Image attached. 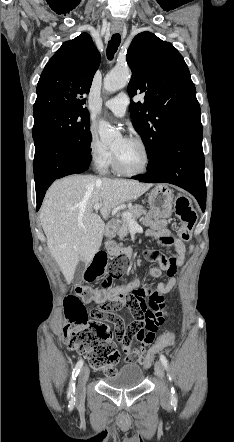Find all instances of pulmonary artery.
<instances>
[{"mask_svg": "<svg viewBox=\"0 0 234 442\" xmlns=\"http://www.w3.org/2000/svg\"><path fill=\"white\" fill-rule=\"evenodd\" d=\"M104 105L114 115L122 117L125 115L129 105V97L126 93H120L116 97L107 100Z\"/></svg>", "mask_w": 234, "mask_h": 442, "instance_id": "e3ab8cb5", "label": "pulmonary artery"}]
</instances>
